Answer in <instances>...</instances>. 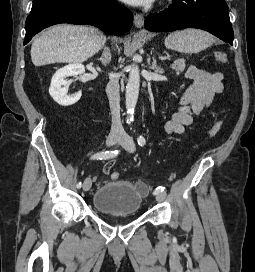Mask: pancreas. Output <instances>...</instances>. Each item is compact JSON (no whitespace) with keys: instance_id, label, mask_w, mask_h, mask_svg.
Listing matches in <instances>:
<instances>
[{"instance_id":"1","label":"pancreas","mask_w":255,"mask_h":272,"mask_svg":"<svg viewBox=\"0 0 255 272\" xmlns=\"http://www.w3.org/2000/svg\"><path fill=\"white\" fill-rule=\"evenodd\" d=\"M171 68L175 70L176 74L179 75L185 69V62L184 61H176L171 65Z\"/></svg>"}]
</instances>
